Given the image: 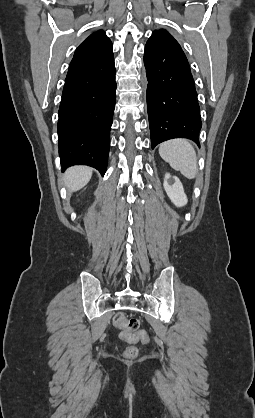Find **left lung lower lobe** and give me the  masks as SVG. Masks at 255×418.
<instances>
[{
	"label": "left lung lower lobe",
	"instance_id": "left-lung-lower-lobe-1",
	"mask_svg": "<svg viewBox=\"0 0 255 418\" xmlns=\"http://www.w3.org/2000/svg\"><path fill=\"white\" fill-rule=\"evenodd\" d=\"M144 65L151 144L187 138L199 144L202 127L197 92L188 60L178 42L149 39Z\"/></svg>",
	"mask_w": 255,
	"mask_h": 418
}]
</instances>
